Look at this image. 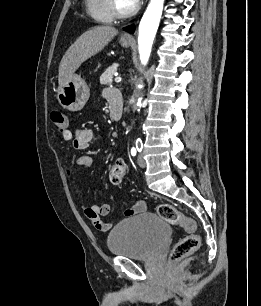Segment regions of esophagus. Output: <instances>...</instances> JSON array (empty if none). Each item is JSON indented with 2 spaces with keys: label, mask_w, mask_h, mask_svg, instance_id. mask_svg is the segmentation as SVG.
I'll list each match as a JSON object with an SVG mask.
<instances>
[{
  "label": "esophagus",
  "mask_w": 261,
  "mask_h": 306,
  "mask_svg": "<svg viewBox=\"0 0 261 306\" xmlns=\"http://www.w3.org/2000/svg\"><path fill=\"white\" fill-rule=\"evenodd\" d=\"M121 39L131 41V40H133V37H132L131 34L125 33V34L122 35Z\"/></svg>",
  "instance_id": "obj_1"
}]
</instances>
